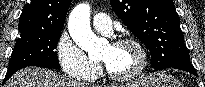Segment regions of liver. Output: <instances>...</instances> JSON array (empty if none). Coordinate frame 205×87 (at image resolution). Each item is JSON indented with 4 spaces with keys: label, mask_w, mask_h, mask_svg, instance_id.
I'll list each match as a JSON object with an SVG mask.
<instances>
[{
    "label": "liver",
    "mask_w": 205,
    "mask_h": 87,
    "mask_svg": "<svg viewBox=\"0 0 205 87\" xmlns=\"http://www.w3.org/2000/svg\"><path fill=\"white\" fill-rule=\"evenodd\" d=\"M5 87H94L64 78L51 70L27 67L16 72Z\"/></svg>",
    "instance_id": "1"
}]
</instances>
